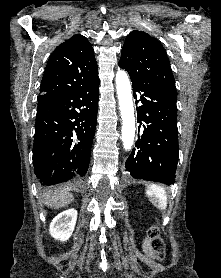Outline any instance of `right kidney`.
Wrapping results in <instances>:
<instances>
[{"label": "right kidney", "mask_w": 221, "mask_h": 278, "mask_svg": "<svg viewBox=\"0 0 221 278\" xmlns=\"http://www.w3.org/2000/svg\"><path fill=\"white\" fill-rule=\"evenodd\" d=\"M76 220V209H68L58 214L50 224L51 236L60 241L68 240L74 231Z\"/></svg>", "instance_id": "ca27d5eb"}]
</instances>
